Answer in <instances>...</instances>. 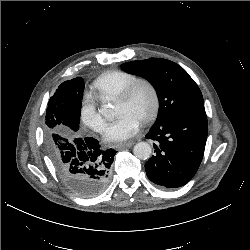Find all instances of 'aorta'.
<instances>
[{"mask_svg": "<svg viewBox=\"0 0 250 250\" xmlns=\"http://www.w3.org/2000/svg\"><path fill=\"white\" fill-rule=\"evenodd\" d=\"M102 114L108 117L112 114V110L106 107L102 110ZM133 153L137 158L146 160L151 157L152 148L147 142H138L133 148Z\"/></svg>", "mask_w": 250, "mask_h": 250, "instance_id": "1", "label": "aorta"}]
</instances>
